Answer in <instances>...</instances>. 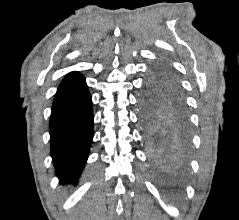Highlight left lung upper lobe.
<instances>
[{
    "instance_id": "5c2ea615",
    "label": "left lung upper lobe",
    "mask_w": 239,
    "mask_h": 220,
    "mask_svg": "<svg viewBox=\"0 0 239 220\" xmlns=\"http://www.w3.org/2000/svg\"><path fill=\"white\" fill-rule=\"evenodd\" d=\"M141 106L143 124L149 131L161 126L172 112H185L175 71L167 63L156 64L151 69Z\"/></svg>"
}]
</instances>
